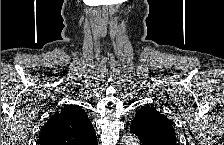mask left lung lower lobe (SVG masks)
<instances>
[{
    "instance_id": "0a47b994",
    "label": "left lung lower lobe",
    "mask_w": 224,
    "mask_h": 145,
    "mask_svg": "<svg viewBox=\"0 0 224 145\" xmlns=\"http://www.w3.org/2000/svg\"><path fill=\"white\" fill-rule=\"evenodd\" d=\"M130 132L134 133L139 138L140 145H161L152 136L147 134L143 122L138 118L133 119Z\"/></svg>"
}]
</instances>
